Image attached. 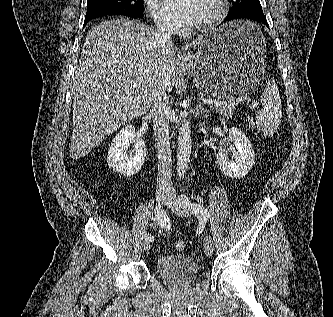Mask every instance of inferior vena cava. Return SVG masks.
Segmentation results:
<instances>
[{
    "mask_svg": "<svg viewBox=\"0 0 333 317\" xmlns=\"http://www.w3.org/2000/svg\"><path fill=\"white\" fill-rule=\"evenodd\" d=\"M156 32L165 43H171L174 30L169 23H157ZM170 113L171 108L168 104L166 91L160 88L154 95L153 107L151 110L158 153L157 187L160 189L172 188V158L168 133Z\"/></svg>",
    "mask_w": 333,
    "mask_h": 317,
    "instance_id": "602c4592",
    "label": "inferior vena cava"
}]
</instances>
